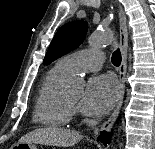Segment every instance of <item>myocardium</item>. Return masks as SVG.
Instances as JSON below:
<instances>
[{"instance_id": "1", "label": "myocardium", "mask_w": 155, "mask_h": 149, "mask_svg": "<svg viewBox=\"0 0 155 149\" xmlns=\"http://www.w3.org/2000/svg\"><path fill=\"white\" fill-rule=\"evenodd\" d=\"M65 102H66V105L69 107V109L72 111V112H75L77 111V105L71 103L67 97H65Z\"/></svg>"}]
</instances>
